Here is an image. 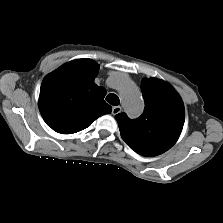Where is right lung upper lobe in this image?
I'll return each mask as SVG.
<instances>
[{"instance_id":"1","label":"right lung upper lobe","mask_w":223,"mask_h":223,"mask_svg":"<svg viewBox=\"0 0 223 223\" xmlns=\"http://www.w3.org/2000/svg\"><path fill=\"white\" fill-rule=\"evenodd\" d=\"M99 66L90 59L70 61L48 74L40 89L39 110L56 132L72 134L111 113L106 91L94 83Z\"/></svg>"}]
</instances>
